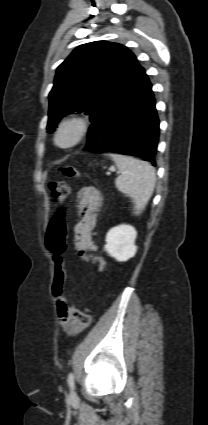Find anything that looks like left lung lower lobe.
Here are the masks:
<instances>
[{"mask_svg": "<svg viewBox=\"0 0 208 425\" xmlns=\"http://www.w3.org/2000/svg\"><path fill=\"white\" fill-rule=\"evenodd\" d=\"M159 119L144 68L101 110L85 150L139 156L155 166Z\"/></svg>", "mask_w": 208, "mask_h": 425, "instance_id": "left-lung-lower-lobe-1", "label": "left lung lower lobe"}]
</instances>
